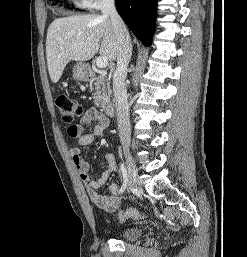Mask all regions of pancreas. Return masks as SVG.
<instances>
[{"instance_id":"obj_1","label":"pancreas","mask_w":247,"mask_h":257,"mask_svg":"<svg viewBox=\"0 0 247 257\" xmlns=\"http://www.w3.org/2000/svg\"><path fill=\"white\" fill-rule=\"evenodd\" d=\"M94 88V104L97 107L105 108L110 102L112 93L109 78H107L104 74H100L94 82Z\"/></svg>"}]
</instances>
